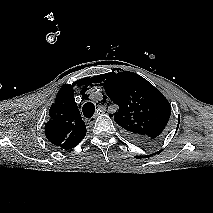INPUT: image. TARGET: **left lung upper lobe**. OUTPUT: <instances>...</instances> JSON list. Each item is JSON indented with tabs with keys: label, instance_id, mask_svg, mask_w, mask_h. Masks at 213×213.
Segmentation results:
<instances>
[{
	"label": "left lung upper lobe",
	"instance_id": "left-lung-upper-lobe-1",
	"mask_svg": "<svg viewBox=\"0 0 213 213\" xmlns=\"http://www.w3.org/2000/svg\"><path fill=\"white\" fill-rule=\"evenodd\" d=\"M101 76L106 95L118 106L110 116H114L126 135L141 144L158 140L171 115V106L166 97L133 72L117 69Z\"/></svg>",
	"mask_w": 213,
	"mask_h": 213
}]
</instances>
